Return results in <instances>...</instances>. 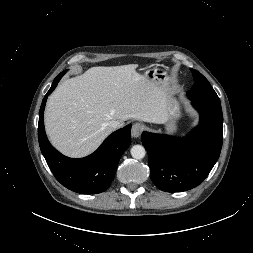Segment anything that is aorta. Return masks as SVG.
<instances>
[{
	"instance_id": "762f6f07",
	"label": "aorta",
	"mask_w": 253,
	"mask_h": 253,
	"mask_svg": "<svg viewBox=\"0 0 253 253\" xmlns=\"http://www.w3.org/2000/svg\"><path fill=\"white\" fill-rule=\"evenodd\" d=\"M130 152H131V156L137 160L143 159L146 155V150L142 145H134L131 148Z\"/></svg>"
}]
</instances>
